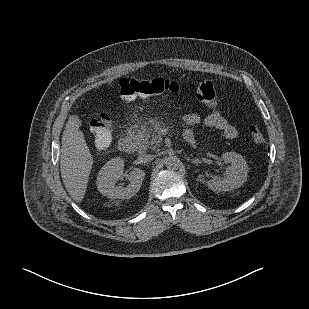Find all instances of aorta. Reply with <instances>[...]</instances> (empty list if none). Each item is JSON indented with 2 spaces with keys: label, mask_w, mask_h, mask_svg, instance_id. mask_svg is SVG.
<instances>
[{
  "label": "aorta",
  "mask_w": 309,
  "mask_h": 309,
  "mask_svg": "<svg viewBox=\"0 0 309 309\" xmlns=\"http://www.w3.org/2000/svg\"><path fill=\"white\" fill-rule=\"evenodd\" d=\"M164 164L168 170H178L181 165V161L177 156L170 155L165 158Z\"/></svg>",
  "instance_id": "762f6f07"
}]
</instances>
